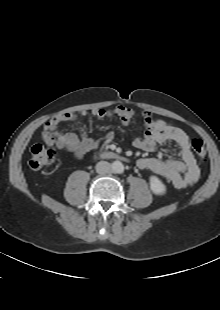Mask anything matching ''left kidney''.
Here are the masks:
<instances>
[{
	"label": "left kidney",
	"mask_w": 220,
	"mask_h": 310,
	"mask_svg": "<svg viewBox=\"0 0 220 310\" xmlns=\"http://www.w3.org/2000/svg\"><path fill=\"white\" fill-rule=\"evenodd\" d=\"M150 188H151L152 192L156 195H163L166 193V186L156 176L150 177Z\"/></svg>",
	"instance_id": "obj_1"
}]
</instances>
